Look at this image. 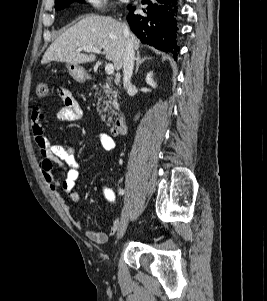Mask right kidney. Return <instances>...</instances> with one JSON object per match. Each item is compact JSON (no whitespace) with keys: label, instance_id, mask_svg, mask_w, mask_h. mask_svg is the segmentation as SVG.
<instances>
[{"label":"right kidney","instance_id":"ca27d5eb","mask_svg":"<svg viewBox=\"0 0 267 301\" xmlns=\"http://www.w3.org/2000/svg\"><path fill=\"white\" fill-rule=\"evenodd\" d=\"M152 76H153V72L152 71L149 72V73H147V75H146V83L148 85L152 86L153 88H155L156 87V83L153 81Z\"/></svg>","mask_w":267,"mask_h":301}]
</instances>
